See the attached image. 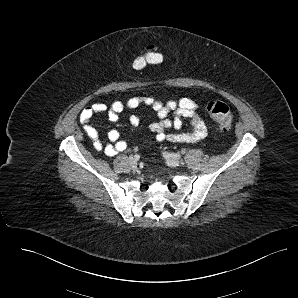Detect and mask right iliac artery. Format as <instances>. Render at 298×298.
<instances>
[{"instance_id": "right-iliac-artery-1", "label": "right iliac artery", "mask_w": 298, "mask_h": 298, "mask_svg": "<svg viewBox=\"0 0 298 298\" xmlns=\"http://www.w3.org/2000/svg\"><path fill=\"white\" fill-rule=\"evenodd\" d=\"M134 158H135L136 160H138V159L140 158V156H139L138 154H136V155L134 156Z\"/></svg>"}]
</instances>
